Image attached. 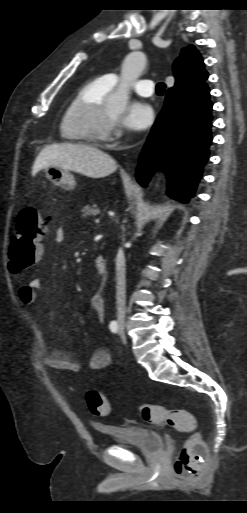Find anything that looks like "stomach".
I'll return each instance as SVG.
<instances>
[{"mask_svg":"<svg viewBox=\"0 0 247 513\" xmlns=\"http://www.w3.org/2000/svg\"><path fill=\"white\" fill-rule=\"evenodd\" d=\"M46 177L54 185L60 186L65 190H73L76 187V180L68 170L56 166L45 168Z\"/></svg>","mask_w":247,"mask_h":513,"instance_id":"1","label":"stomach"}]
</instances>
